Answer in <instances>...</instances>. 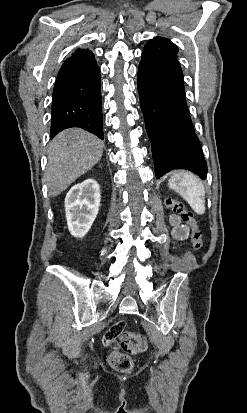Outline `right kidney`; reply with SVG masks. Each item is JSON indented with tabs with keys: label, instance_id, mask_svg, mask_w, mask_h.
I'll use <instances>...</instances> for the list:
<instances>
[{
	"label": "right kidney",
	"instance_id": "right-kidney-1",
	"mask_svg": "<svg viewBox=\"0 0 247 413\" xmlns=\"http://www.w3.org/2000/svg\"><path fill=\"white\" fill-rule=\"evenodd\" d=\"M100 186L94 178H86L70 188L65 198L68 229L73 237H85L100 207Z\"/></svg>",
	"mask_w": 247,
	"mask_h": 413
}]
</instances>
